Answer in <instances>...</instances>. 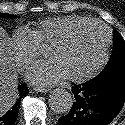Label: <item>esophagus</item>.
Here are the masks:
<instances>
[{"mask_svg":"<svg viewBox=\"0 0 125 125\" xmlns=\"http://www.w3.org/2000/svg\"><path fill=\"white\" fill-rule=\"evenodd\" d=\"M37 90H38V92H41V93H47V92H49L50 89L38 88Z\"/></svg>","mask_w":125,"mask_h":125,"instance_id":"esophagus-1","label":"esophagus"}]
</instances>
